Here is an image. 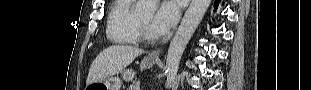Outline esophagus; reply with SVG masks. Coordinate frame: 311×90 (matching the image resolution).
<instances>
[{"instance_id":"34e87169","label":"esophagus","mask_w":311,"mask_h":90,"mask_svg":"<svg viewBox=\"0 0 311 90\" xmlns=\"http://www.w3.org/2000/svg\"><path fill=\"white\" fill-rule=\"evenodd\" d=\"M162 49H157L149 53L148 57L153 59H159Z\"/></svg>"}]
</instances>
